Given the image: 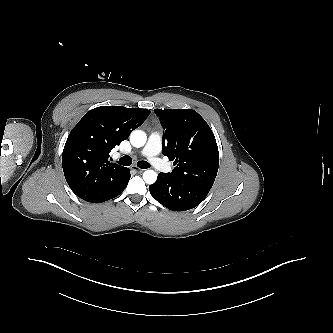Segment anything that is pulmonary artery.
I'll list each match as a JSON object with an SVG mask.
<instances>
[{
	"label": "pulmonary artery",
	"instance_id": "obj_1",
	"mask_svg": "<svg viewBox=\"0 0 333 333\" xmlns=\"http://www.w3.org/2000/svg\"><path fill=\"white\" fill-rule=\"evenodd\" d=\"M162 137L159 132H152L147 144L142 149L141 154L148 158L149 162L159 171L170 172L171 166L158 157L161 150Z\"/></svg>",
	"mask_w": 333,
	"mask_h": 333
}]
</instances>
